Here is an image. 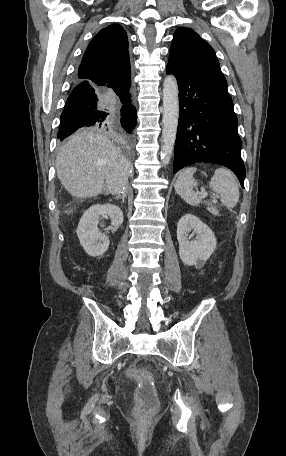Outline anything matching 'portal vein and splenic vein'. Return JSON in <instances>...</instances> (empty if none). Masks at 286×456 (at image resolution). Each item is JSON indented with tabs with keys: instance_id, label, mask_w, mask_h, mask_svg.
<instances>
[{
	"instance_id": "portal-vein-and-splenic-vein-1",
	"label": "portal vein and splenic vein",
	"mask_w": 286,
	"mask_h": 456,
	"mask_svg": "<svg viewBox=\"0 0 286 456\" xmlns=\"http://www.w3.org/2000/svg\"><path fill=\"white\" fill-rule=\"evenodd\" d=\"M206 196H208L207 192L202 193V197H206ZM214 197L216 198L217 196L214 195Z\"/></svg>"
}]
</instances>
